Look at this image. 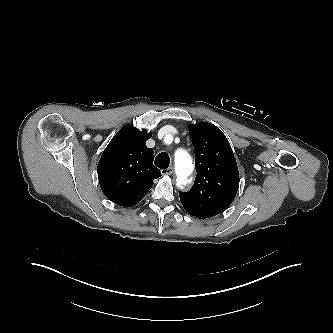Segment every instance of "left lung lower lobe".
Segmentation results:
<instances>
[{
    "label": "left lung lower lobe",
    "instance_id": "0a47b994",
    "mask_svg": "<svg viewBox=\"0 0 333 333\" xmlns=\"http://www.w3.org/2000/svg\"><path fill=\"white\" fill-rule=\"evenodd\" d=\"M190 215H193L197 218H210L211 216L204 214V213H199V212H191V211H187Z\"/></svg>",
    "mask_w": 333,
    "mask_h": 333
}]
</instances>
